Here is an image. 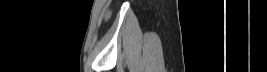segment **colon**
<instances>
[{"mask_svg": "<svg viewBox=\"0 0 267 72\" xmlns=\"http://www.w3.org/2000/svg\"><path fill=\"white\" fill-rule=\"evenodd\" d=\"M105 17H106V18L109 17V11L106 12Z\"/></svg>", "mask_w": 267, "mask_h": 72, "instance_id": "obj_1", "label": "colon"}]
</instances>
